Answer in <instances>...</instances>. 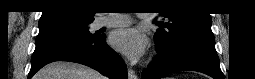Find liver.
I'll use <instances>...</instances> for the list:
<instances>
[{
    "instance_id": "6515ba94",
    "label": "liver",
    "mask_w": 255,
    "mask_h": 79,
    "mask_svg": "<svg viewBox=\"0 0 255 79\" xmlns=\"http://www.w3.org/2000/svg\"><path fill=\"white\" fill-rule=\"evenodd\" d=\"M34 79H105L97 71L82 64L66 61L52 62L43 67Z\"/></svg>"
}]
</instances>
